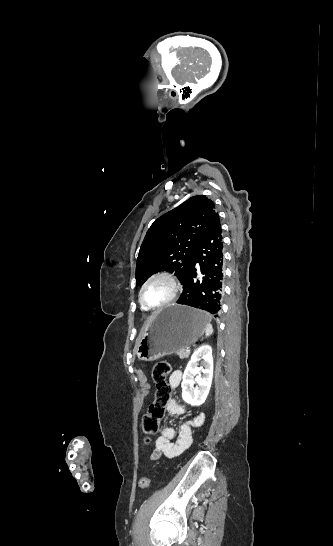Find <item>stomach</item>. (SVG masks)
Returning <instances> with one entry per match:
<instances>
[{"label": "stomach", "mask_w": 333, "mask_h": 546, "mask_svg": "<svg viewBox=\"0 0 333 546\" xmlns=\"http://www.w3.org/2000/svg\"><path fill=\"white\" fill-rule=\"evenodd\" d=\"M209 315L184 305H172L151 319L134 352L142 361H155L189 348L205 332Z\"/></svg>", "instance_id": "stomach-1"}]
</instances>
